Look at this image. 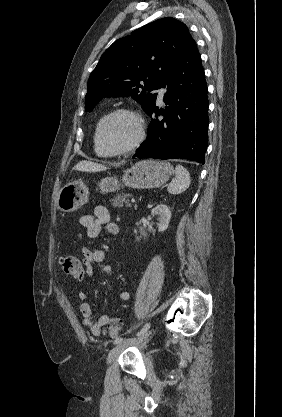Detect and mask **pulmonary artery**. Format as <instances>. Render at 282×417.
<instances>
[{"label": "pulmonary artery", "instance_id": "e3ab8cb5", "mask_svg": "<svg viewBox=\"0 0 282 417\" xmlns=\"http://www.w3.org/2000/svg\"><path fill=\"white\" fill-rule=\"evenodd\" d=\"M164 94H165V89H160L159 95H158L159 100L162 99V97H163Z\"/></svg>", "mask_w": 282, "mask_h": 417}]
</instances>
